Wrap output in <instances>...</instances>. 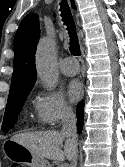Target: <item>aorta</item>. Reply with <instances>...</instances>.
I'll list each match as a JSON object with an SVG mask.
<instances>
[{
  "label": "aorta",
  "mask_w": 125,
  "mask_h": 167,
  "mask_svg": "<svg viewBox=\"0 0 125 167\" xmlns=\"http://www.w3.org/2000/svg\"><path fill=\"white\" fill-rule=\"evenodd\" d=\"M37 73L48 89H53L58 81V69L52 44L47 39H42L36 51Z\"/></svg>",
  "instance_id": "762f6f07"
}]
</instances>
